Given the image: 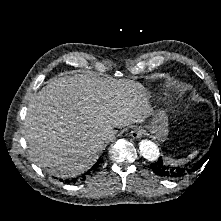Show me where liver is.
<instances>
[{"instance_id": "obj_1", "label": "liver", "mask_w": 221, "mask_h": 221, "mask_svg": "<svg viewBox=\"0 0 221 221\" xmlns=\"http://www.w3.org/2000/svg\"><path fill=\"white\" fill-rule=\"evenodd\" d=\"M148 98L138 82L93 72L50 81L27 108L24 138L32 160L57 177L81 174L108 143L105 131L144 122L152 114Z\"/></svg>"}]
</instances>
